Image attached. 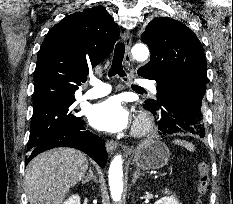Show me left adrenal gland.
Listing matches in <instances>:
<instances>
[{
  "label": "left adrenal gland",
  "instance_id": "1",
  "mask_svg": "<svg viewBox=\"0 0 233 204\" xmlns=\"http://www.w3.org/2000/svg\"><path fill=\"white\" fill-rule=\"evenodd\" d=\"M141 175H143V173H141V171L137 168V169L135 170L134 174H133V179H132L133 184L136 183L137 179H138Z\"/></svg>",
  "mask_w": 233,
  "mask_h": 204
}]
</instances>
